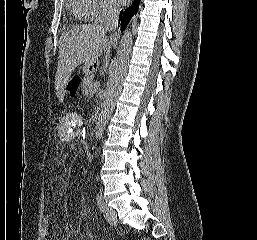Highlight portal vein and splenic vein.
<instances>
[{"label": "portal vein and splenic vein", "instance_id": "1", "mask_svg": "<svg viewBox=\"0 0 257 240\" xmlns=\"http://www.w3.org/2000/svg\"><path fill=\"white\" fill-rule=\"evenodd\" d=\"M95 90H96V85H93V86L90 88V93L93 94Z\"/></svg>", "mask_w": 257, "mask_h": 240}]
</instances>
